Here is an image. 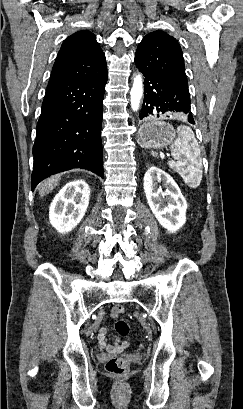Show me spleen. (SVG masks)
Listing matches in <instances>:
<instances>
[{"label":"spleen","mask_w":243,"mask_h":409,"mask_svg":"<svg viewBox=\"0 0 243 409\" xmlns=\"http://www.w3.org/2000/svg\"><path fill=\"white\" fill-rule=\"evenodd\" d=\"M178 136L171 145V155L174 161H169L171 168L176 170L190 188H197L202 180V160L200 149L192 129L180 125ZM155 156V153L152 152Z\"/></svg>","instance_id":"spleen-1"}]
</instances>
